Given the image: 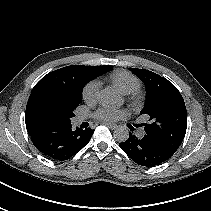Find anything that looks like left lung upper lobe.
Returning a JSON list of instances; mask_svg holds the SVG:
<instances>
[{
	"label": "left lung upper lobe",
	"mask_w": 211,
	"mask_h": 211,
	"mask_svg": "<svg viewBox=\"0 0 211 211\" xmlns=\"http://www.w3.org/2000/svg\"><path fill=\"white\" fill-rule=\"evenodd\" d=\"M146 86L147 96L140 114L150 117L146 135L172 152L181 145L187 129V111L178 89L167 79L145 69L130 68Z\"/></svg>",
	"instance_id": "1"
}]
</instances>
